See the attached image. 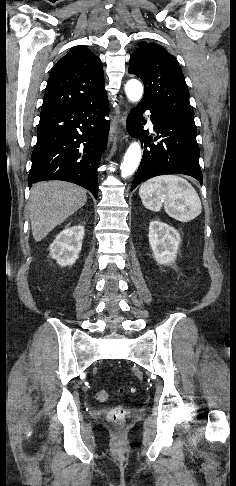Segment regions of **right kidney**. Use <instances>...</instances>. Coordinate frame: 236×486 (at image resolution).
Instances as JSON below:
<instances>
[{
	"label": "right kidney",
	"mask_w": 236,
	"mask_h": 486,
	"mask_svg": "<svg viewBox=\"0 0 236 486\" xmlns=\"http://www.w3.org/2000/svg\"><path fill=\"white\" fill-rule=\"evenodd\" d=\"M83 236L81 225L65 228L50 245V256L61 266L73 265L81 251Z\"/></svg>",
	"instance_id": "right-kidney-1"
}]
</instances>
